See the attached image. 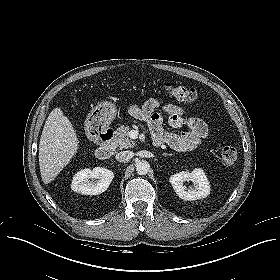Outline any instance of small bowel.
Returning a JSON list of instances; mask_svg holds the SVG:
<instances>
[{"label": "small bowel", "instance_id": "1", "mask_svg": "<svg viewBox=\"0 0 280 280\" xmlns=\"http://www.w3.org/2000/svg\"><path fill=\"white\" fill-rule=\"evenodd\" d=\"M157 109H161L166 115L170 127L186 126L188 130L179 133L167 132L164 129L163 116ZM128 111L134 118L149 124L154 138H159L176 151H191L208 136V126L201 118L190 115L183 107L159 98H150L141 106L131 105Z\"/></svg>", "mask_w": 280, "mask_h": 280}]
</instances>
